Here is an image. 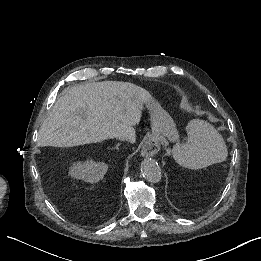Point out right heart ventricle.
Masks as SVG:
<instances>
[{
  "label": "right heart ventricle",
  "mask_w": 261,
  "mask_h": 261,
  "mask_svg": "<svg viewBox=\"0 0 261 261\" xmlns=\"http://www.w3.org/2000/svg\"><path fill=\"white\" fill-rule=\"evenodd\" d=\"M155 102H161L167 106H170V107H173V108H178L180 103L178 100H173V99H170L166 96H162V95H156V100Z\"/></svg>",
  "instance_id": "e07e8e85"
}]
</instances>
